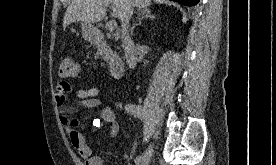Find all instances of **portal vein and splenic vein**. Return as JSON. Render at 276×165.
Instances as JSON below:
<instances>
[{"label": "portal vein and splenic vein", "instance_id": "portal-vein-and-splenic-vein-1", "mask_svg": "<svg viewBox=\"0 0 276 165\" xmlns=\"http://www.w3.org/2000/svg\"><path fill=\"white\" fill-rule=\"evenodd\" d=\"M117 27V22L115 20H111L106 24V28L112 32L113 30H115Z\"/></svg>", "mask_w": 276, "mask_h": 165}]
</instances>
